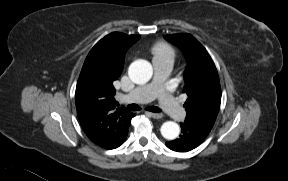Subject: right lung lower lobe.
<instances>
[{
  "label": "right lung lower lobe",
  "instance_id": "right-lung-lower-lobe-1",
  "mask_svg": "<svg viewBox=\"0 0 288 181\" xmlns=\"http://www.w3.org/2000/svg\"><path fill=\"white\" fill-rule=\"evenodd\" d=\"M134 116H135V114H134ZM127 133H128V132H127ZM127 133L125 134V136H124L123 140L121 141V144H122V143L125 141V139H126V136H127ZM121 144H120V145H121ZM120 145H119V146H120Z\"/></svg>",
  "mask_w": 288,
  "mask_h": 181
}]
</instances>
